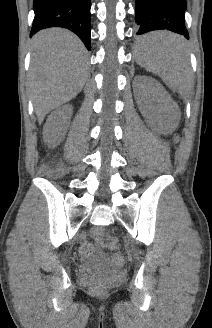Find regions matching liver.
Masks as SVG:
<instances>
[{
  "label": "liver",
  "instance_id": "liver-1",
  "mask_svg": "<svg viewBox=\"0 0 212 328\" xmlns=\"http://www.w3.org/2000/svg\"><path fill=\"white\" fill-rule=\"evenodd\" d=\"M29 88L38 122L53 109L73 99L88 76L87 51L72 32L51 28L32 40Z\"/></svg>",
  "mask_w": 212,
  "mask_h": 328
}]
</instances>
